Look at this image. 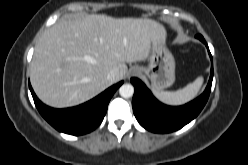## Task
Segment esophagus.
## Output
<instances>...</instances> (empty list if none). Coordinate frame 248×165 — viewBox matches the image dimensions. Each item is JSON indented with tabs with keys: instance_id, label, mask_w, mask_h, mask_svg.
I'll use <instances>...</instances> for the list:
<instances>
[{
	"instance_id": "obj_1",
	"label": "esophagus",
	"mask_w": 248,
	"mask_h": 165,
	"mask_svg": "<svg viewBox=\"0 0 248 165\" xmlns=\"http://www.w3.org/2000/svg\"><path fill=\"white\" fill-rule=\"evenodd\" d=\"M137 73H138V71L136 69H133V70L130 71V75H135Z\"/></svg>"
}]
</instances>
